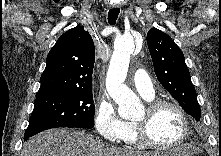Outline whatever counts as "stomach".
Masks as SVG:
<instances>
[{"label": "stomach", "mask_w": 221, "mask_h": 156, "mask_svg": "<svg viewBox=\"0 0 221 156\" xmlns=\"http://www.w3.org/2000/svg\"><path fill=\"white\" fill-rule=\"evenodd\" d=\"M155 156H188L184 154L183 148L174 149L171 153H162Z\"/></svg>", "instance_id": "1"}]
</instances>
